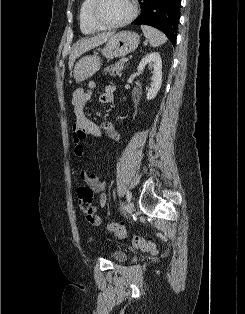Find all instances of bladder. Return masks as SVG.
I'll use <instances>...</instances> for the list:
<instances>
[{"instance_id":"31cf9c89","label":"bladder","mask_w":245,"mask_h":314,"mask_svg":"<svg viewBox=\"0 0 245 314\" xmlns=\"http://www.w3.org/2000/svg\"><path fill=\"white\" fill-rule=\"evenodd\" d=\"M110 257L115 261L121 262L126 259V254L120 250H116L111 253Z\"/></svg>"}]
</instances>
